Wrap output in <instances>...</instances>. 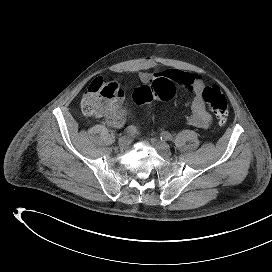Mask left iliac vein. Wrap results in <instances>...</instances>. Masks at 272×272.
<instances>
[{"instance_id":"1","label":"left iliac vein","mask_w":272,"mask_h":272,"mask_svg":"<svg viewBox=\"0 0 272 272\" xmlns=\"http://www.w3.org/2000/svg\"><path fill=\"white\" fill-rule=\"evenodd\" d=\"M151 143H152V146L158 151L160 155L165 157H169L172 155L170 147L166 142L153 138L151 139Z\"/></svg>"}]
</instances>
